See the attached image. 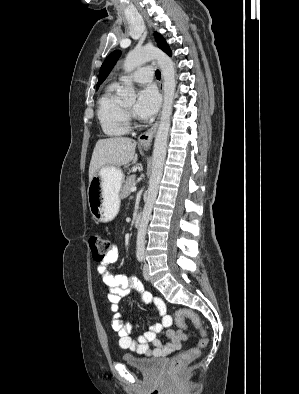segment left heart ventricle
<instances>
[{"label": "left heart ventricle", "mask_w": 299, "mask_h": 394, "mask_svg": "<svg viewBox=\"0 0 299 394\" xmlns=\"http://www.w3.org/2000/svg\"><path fill=\"white\" fill-rule=\"evenodd\" d=\"M125 107H126L127 109H132V107H133V102H130V103L126 104Z\"/></svg>", "instance_id": "obj_1"}]
</instances>
